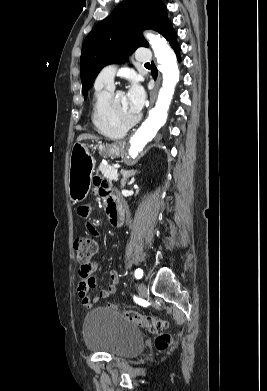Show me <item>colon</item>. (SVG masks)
<instances>
[{
  "mask_svg": "<svg viewBox=\"0 0 267 391\" xmlns=\"http://www.w3.org/2000/svg\"><path fill=\"white\" fill-rule=\"evenodd\" d=\"M74 248L80 267L85 269L90 266L93 257L98 253L99 244L94 237L82 235L75 239ZM122 314L126 320L152 333L155 336V345L159 350H165L171 345L172 338L167 332L168 322L166 320L153 315L141 314L134 310H125Z\"/></svg>",
  "mask_w": 267,
  "mask_h": 391,
  "instance_id": "1",
  "label": "colon"
}]
</instances>
